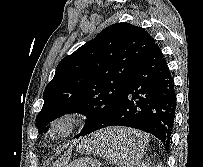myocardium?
Wrapping results in <instances>:
<instances>
[{
  "label": "myocardium",
  "instance_id": "1",
  "mask_svg": "<svg viewBox=\"0 0 203 167\" xmlns=\"http://www.w3.org/2000/svg\"><path fill=\"white\" fill-rule=\"evenodd\" d=\"M84 121L78 112H66L55 117L47 126L46 136L51 141H58L71 135Z\"/></svg>",
  "mask_w": 203,
  "mask_h": 167
}]
</instances>
